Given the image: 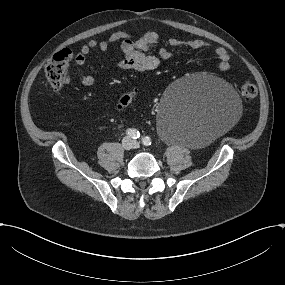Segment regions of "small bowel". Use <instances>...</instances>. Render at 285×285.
<instances>
[{"label":"small bowel","mask_w":285,"mask_h":285,"mask_svg":"<svg viewBox=\"0 0 285 285\" xmlns=\"http://www.w3.org/2000/svg\"><path fill=\"white\" fill-rule=\"evenodd\" d=\"M159 37L155 32H147L139 38H133L125 32H115L107 39H91L83 44L75 54V62L79 67H83L87 56L93 50L106 52L115 43H120L122 57L117 62V67L121 70L149 71L156 69L161 60H168L172 57V52L165 47H161L157 54L151 53V48L158 43ZM171 48L188 47L193 50L210 48L211 44L194 39L190 41H180L172 38L168 41ZM214 53L219 61V69L228 71L230 69V55L224 47H215ZM80 82L84 86L93 85L95 79L92 73L81 69L79 73ZM70 79L67 77L62 85H68Z\"/></svg>","instance_id":"obj_1"}]
</instances>
